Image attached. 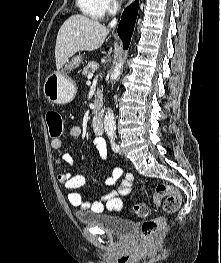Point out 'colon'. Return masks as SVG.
I'll return each instance as SVG.
<instances>
[{
    "instance_id": "obj_1",
    "label": "colon",
    "mask_w": 221,
    "mask_h": 263,
    "mask_svg": "<svg viewBox=\"0 0 221 263\" xmlns=\"http://www.w3.org/2000/svg\"><path fill=\"white\" fill-rule=\"evenodd\" d=\"M49 135L51 138H58L63 134V119L58 110L51 109L46 113ZM163 200V210L166 213H175L181 204V194L173 186L164 183L157 184L154 190L152 204L155 207L160 206ZM134 212L139 217H147L149 206L146 203H137L134 206ZM164 225L163 217H156L145 220L141 225V238L149 243L158 235Z\"/></svg>"
}]
</instances>
